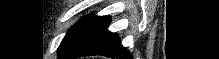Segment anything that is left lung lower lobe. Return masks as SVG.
Here are the masks:
<instances>
[{
  "mask_svg": "<svg viewBox=\"0 0 219 59\" xmlns=\"http://www.w3.org/2000/svg\"><path fill=\"white\" fill-rule=\"evenodd\" d=\"M109 24L110 17H101L92 33L66 59L92 55H102L113 59H132L131 53L121 45L118 36L107 29Z\"/></svg>",
  "mask_w": 219,
  "mask_h": 59,
  "instance_id": "0a47b994",
  "label": "left lung lower lobe"
}]
</instances>
